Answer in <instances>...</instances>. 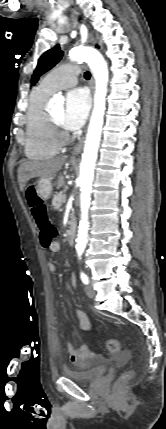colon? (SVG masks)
<instances>
[{
    "instance_id": "5ec220e1",
    "label": "colon",
    "mask_w": 166,
    "mask_h": 429,
    "mask_svg": "<svg viewBox=\"0 0 166 429\" xmlns=\"http://www.w3.org/2000/svg\"><path fill=\"white\" fill-rule=\"evenodd\" d=\"M28 203L31 209L32 216L38 226L40 232V240L44 247H48L56 238L57 230L48 218L47 208L42 200L37 195L33 187L27 190ZM105 348L112 353L120 350V343L115 339H110L105 342ZM133 370H127L120 375L117 385L126 384L133 377Z\"/></svg>"
}]
</instances>
